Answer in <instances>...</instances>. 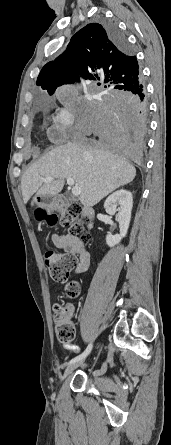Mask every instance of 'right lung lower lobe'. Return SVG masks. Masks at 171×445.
Instances as JSON below:
<instances>
[{"mask_svg": "<svg viewBox=\"0 0 171 445\" xmlns=\"http://www.w3.org/2000/svg\"><path fill=\"white\" fill-rule=\"evenodd\" d=\"M113 43L128 48L127 40L114 23L104 22ZM84 132L95 137L94 144L121 158L140 162L147 125V98L143 81L128 91L110 92L87 106Z\"/></svg>", "mask_w": 171, "mask_h": 445, "instance_id": "1", "label": "right lung lower lobe"}]
</instances>
